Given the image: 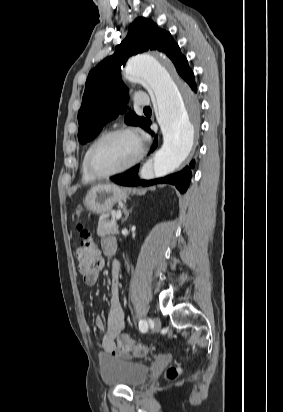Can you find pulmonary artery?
<instances>
[{"mask_svg": "<svg viewBox=\"0 0 283 412\" xmlns=\"http://www.w3.org/2000/svg\"><path fill=\"white\" fill-rule=\"evenodd\" d=\"M135 103L139 106H148L150 104V99L144 93L138 92L135 94Z\"/></svg>", "mask_w": 283, "mask_h": 412, "instance_id": "obj_1", "label": "pulmonary artery"}]
</instances>
